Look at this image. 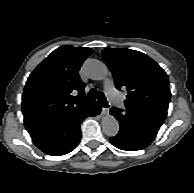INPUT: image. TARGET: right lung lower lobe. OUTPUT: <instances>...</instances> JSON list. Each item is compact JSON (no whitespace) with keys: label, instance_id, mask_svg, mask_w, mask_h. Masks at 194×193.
Here are the masks:
<instances>
[{"label":"right lung lower lobe","instance_id":"right-lung-lower-lobe-1","mask_svg":"<svg viewBox=\"0 0 194 193\" xmlns=\"http://www.w3.org/2000/svg\"><path fill=\"white\" fill-rule=\"evenodd\" d=\"M101 107L98 102H90L85 107L54 121L26 128L34 144L44 153L52 156L65 155L79 143L80 124L88 116H96Z\"/></svg>","mask_w":194,"mask_h":193}]
</instances>
